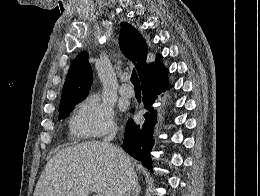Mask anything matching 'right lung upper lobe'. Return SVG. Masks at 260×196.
Instances as JSON below:
<instances>
[{
	"mask_svg": "<svg viewBox=\"0 0 260 196\" xmlns=\"http://www.w3.org/2000/svg\"><path fill=\"white\" fill-rule=\"evenodd\" d=\"M119 44L124 55L133 63L137 70L141 83L146 80L158 78L168 71L163 66L160 54H157L155 64L146 63L150 49L144 38L129 23H121ZM91 83L92 68L88 62V53L82 51L74 59L68 71L63 86L59 110L76 100L85 98L91 87Z\"/></svg>",
	"mask_w": 260,
	"mask_h": 196,
	"instance_id": "1",
	"label": "right lung upper lobe"
}]
</instances>
